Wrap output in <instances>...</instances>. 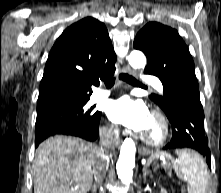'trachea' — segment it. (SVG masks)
<instances>
[{"mask_svg": "<svg viewBox=\"0 0 221 193\" xmlns=\"http://www.w3.org/2000/svg\"><path fill=\"white\" fill-rule=\"evenodd\" d=\"M119 79L129 83V84H140L142 85L139 81H137L134 77L129 76L128 74L121 73L119 74ZM105 85L107 88H111L114 83H115V78H110L108 80L104 81Z\"/></svg>", "mask_w": 221, "mask_h": 193, "instance_id": "1", "label": "trachea"}]
</instances>
